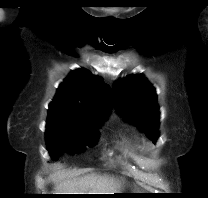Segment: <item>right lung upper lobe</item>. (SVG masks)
Segmentation results:
<instances>
[{"label": "right lung upper lobe", "mask_w": 208, "mask_h": 198, "mask_svg": "<svg viewBox=\"0 0 208 198\" xmlns=\"http://www.w3.org/2000/svg\"><path fill=\"white\" fill-rule=\"evenodd\" d=\"M113 104V92L102 78L78 69L59 85L55 98L49 104L48 113L106 119Z\"/></svg>", "instance_id": "cb5924a9"}]
</instances>
